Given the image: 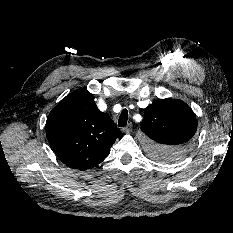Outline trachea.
I'll return each instance as SVG.
<instances>
[{"label": "trachea", "mask_w": 233, "mask_h": 233, "mask_svg": "<svg viewBox=\"0 0 233 233\" xmlns=\"http://www.w3.org/2000/svg\"><path fill=\"white\" fill-rule=\"evenodd\" d=\"M127 121H128V111L126 109H123L118 120V126L125 127L127 125Z\"/></svg>", "instance_id": "trachea-1"}]
</instances>
